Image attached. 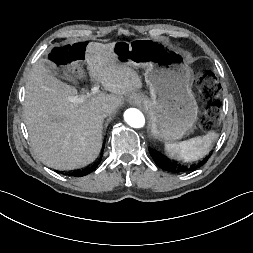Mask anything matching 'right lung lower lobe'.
Instances as JSON below:
<instances>
[{
  "label": "right lung lower lobe",
  "mask_w": 253,
  "mask_h": 253,
  "mask_svg": "<svg viewBox=\"0 0 253 253\" xmlns=\"http://www.w3.org/2000/svg\"><path fill=\"white\" fill-rule=\"evenodd\" d=\"M94 170H95V167L89 168V169L86 170V171L75 172V173L72 174V176H75V177H78V176H85V175L91 173V172L94 171Z\"/></svg>",
  "instance_id": "right-lung-lower-lobe-1"
}]
</instances>
